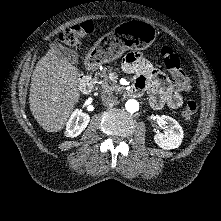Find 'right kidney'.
<instances>
[{"label": "right kidney", "instance_id": "1", "mask_svg": "<svg viewBox=\"0 0 221 221\" xmlns=\"http://www.w3.org/2000/svg\"><path fill=\"white\" fill-rule=\"evenodd\" d=\"M89 121L90 117L88 114L75 110L66 124L65 135L72 138L80 135L87 127Z\"/></svg>", "mask_w": 221, "mask_h": 221}]
</instances>
